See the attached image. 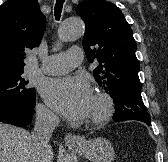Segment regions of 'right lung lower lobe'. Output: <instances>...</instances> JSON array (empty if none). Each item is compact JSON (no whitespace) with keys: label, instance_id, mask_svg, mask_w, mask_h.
Instances as JSON below:
<instances>
[{"label":"right lung lower lobe","instance_id":"98d812e1","mask_svg":"<svg viewBox=\"0 0 168 162\" xmlns=\"http://www.w3.org/2000/svg\"><path fill=\"white\" fill-rule=\"evenodd\" d=\"M32 105H22L9 101H0V122L12 124L19 127H24L31 122L33 114Z\"/></svg>","mask_w":168,"mask_h":162}]
</instances>
